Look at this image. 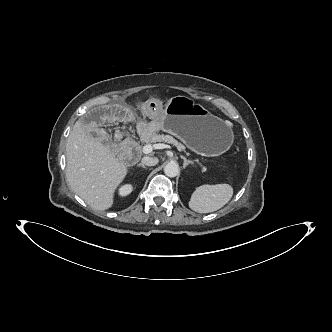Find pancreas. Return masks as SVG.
<instances>
[{
    "mask_svg": "<svg viewBox=\"0 0 332 332\" xmlns=\"http://www.w3.org/2000/svg\"><path fill=\"white\" fill-rule=\"evenodd\" d=\"M148 142L151 143H159V142H166L169 144L174 145L178 150H184L185 147L184 145L179 142L178 140H176L174 137L170 136V135H153L148 139ZM206 170L205 167L202 166V172H204Z\"/></svg>",
    "mask_w": 332,
    "mask_h": 332,
    "instance_id": "1",
    "label": "pancreas"
}]
</instances>
